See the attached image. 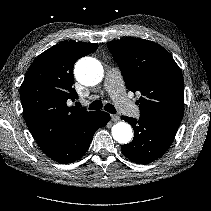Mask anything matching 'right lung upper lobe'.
Segmentation results:
<instances>
[{
	"label": "right lung upper lobe",
	"instance_id": "obj_1",
	"mask_svg": "<svg viewBox=\"0 0 211 211\" xmlns=\"http://www.w3.org/2000/svg\"><path fill=\"white\" fill-rule=\"evenodd\" d=\"M98 45L65 42L40 54L28 69L20 87V98L28 129L44 153L56 148L76 124L94 111L69 107L77 99L73 66Z\"/></svg>",
	"mask_w": 211,
	"mask_h": 211
}]
</instances>
